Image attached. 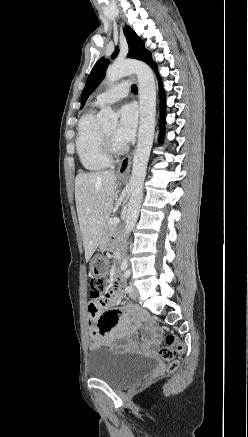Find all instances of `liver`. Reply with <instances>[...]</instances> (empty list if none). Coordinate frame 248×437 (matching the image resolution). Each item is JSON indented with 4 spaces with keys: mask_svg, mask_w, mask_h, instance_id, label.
Here are the masks:
<instances>
[{
    "mask_svg": "<svg viewBox=\"0 0 248 437\" xmlns=\"http://www.w3.org/2000/svg\"><path fill=\"white\" fill-rule=\"evenodd\" d=\"M116 188L113 170L80 173L75 178V202L87 261L104 237Z\"/></svg>",
    "mask_w": 248,
    "mask_h": 437,
    "instance_id": "1",
    "label": "liver"
}]
</instances>
